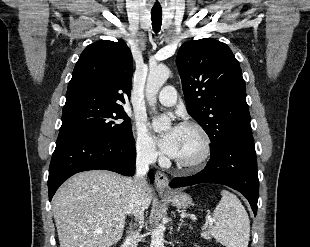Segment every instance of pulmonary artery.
Wrapping results in <instances>:
<instances>
[{
	"mask_svg": "<svg viewBox=\"0 0 310 247\" xmlns=\"http://www.w3.org/2000/svg\"><path fill=\"white\" fill-rule=\"evenodd\" d=\"M158 100L164 106L175 105L177 101V93L175 88L172 86L164 87L158 96Z\"/></svg>",
	"mask_w": 310,
	"mask_h": 247,
	"instance_id": "1",
	"label": "pulmonary artery"
}]
</instances>
